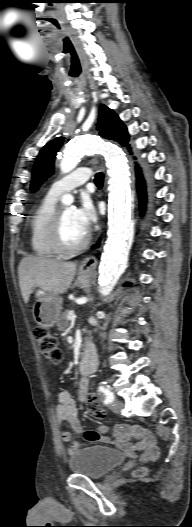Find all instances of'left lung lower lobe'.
<instances>
[{
	"label": "left lung lower lobe",
	"mask_w": 192,
	"mask_h": 527,
	"mask_svg": "<svg viewBox=\"0 0 192 527\" xmlns=\"http://www.w3.org/2000/svg\"><path fill=\"white\" fill-rule=\"evenodd\" d=\"M137 180H138V192H139V196H140V201H141V209L144 208V204H145V185H144V181H143V178L140 174V169L137 167ZM129 283L125 284V286H128Z\"/></svg>",
	"instance_id": "1"
}]
</instances>
